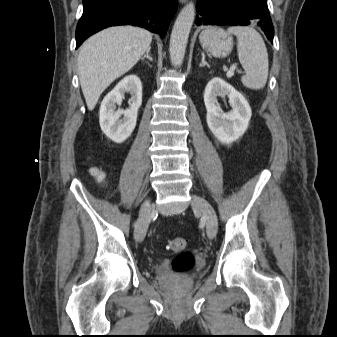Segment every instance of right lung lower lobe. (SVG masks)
<instances>
[{"label":"right lung lower lobe","instance_id":"obj_1","mask_svg":"<svg viewBox=\"0 0 337 337\" xmlns=\"http://www.w3.org/2000/svg\"><path fill=\"white\" fill-rule=\"evenodd\" d=\"M76 48L92 34L116 25H134L163 38L176 12V0H83Z\"/></svg>","mask_w":337,"mask_h":337}]
</instances>
